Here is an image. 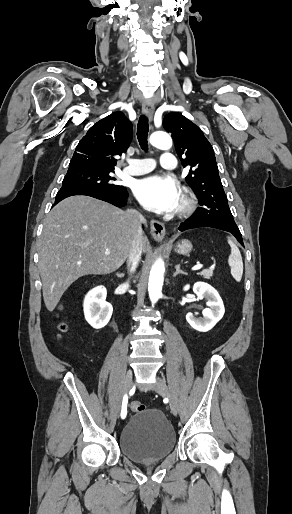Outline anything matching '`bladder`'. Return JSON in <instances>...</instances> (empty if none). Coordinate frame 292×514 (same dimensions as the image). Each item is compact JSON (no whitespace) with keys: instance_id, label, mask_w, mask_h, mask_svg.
Returning <instances> with one entry per match:
<instances>
[{"instance_id":"31cf9c89","label":"bladder","mask_w":292,"mask_h":514,"mask_svg":"<svg viewBox=\"0 0 292 514\" xmlns=\"http://www.w3.org/2000/svg\"><path fill=\"white\" fill-rule=\"evenodd\" d=\"M122 454L135 462L165 458L176 445V435L165 415L158 409L135 412L125 422L118 439Z\"/></svg>"}]
</instances>
